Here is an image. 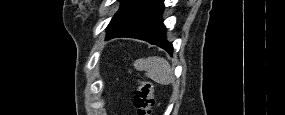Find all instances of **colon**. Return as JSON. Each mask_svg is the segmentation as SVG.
<instances>
[{
	"instance_id": "5ec220e1",
	"label": "colon",
	"mask_w": 285,
	"mask_h": 115,
	"mask_svg": "<svg viewBox=\"0 0 285 115\" xmlns=\"http://www.w3.org/2000/svg\"><path fill=\"white\" fill-rule=\"evenodd\" d=\"M134 106L139 115L152 114L154 106L153 86L148 80H141L134 98Z\"/></svg>"
}]
</instances>
